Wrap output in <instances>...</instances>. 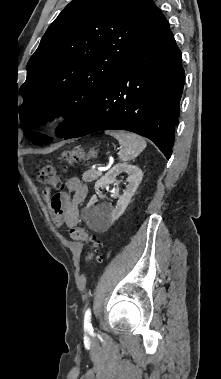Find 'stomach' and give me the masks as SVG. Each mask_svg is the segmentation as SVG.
Segmentation results:
<instances>
[{
	"label": "stomach",
	"instance_id": "obj_1",
	"mask_svg": "<svg viewBox=\"0 0 221 379\" xmlns=\"http://www.w3.org/2000/svg\"><path fill=\"white\" fill-rule=\"evenodd\" d=\"M96 154H97V152L94 149H92V150L89 151V157H93L94 158L96 156Z\"/></svg>",
	"mask_w": 221,
	"mask_h": 379
}]
</instances>
